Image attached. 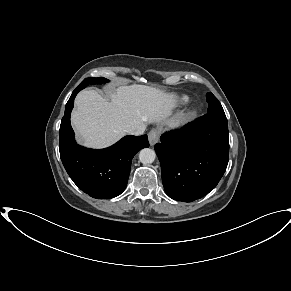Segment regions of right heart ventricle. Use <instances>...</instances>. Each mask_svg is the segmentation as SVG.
Listing matches in <instances>:
<instances>
[{
    "mask_svg": "<svg viewBox=\"0 0 291 291\" xmlns=\"http://www.w3.org/2000/svg\"><path fill=\"white\" fill-rule=\"evenodd\" d=\"M188 101H189V98H188V96H186V95H182V96H180V97L178 98V104H179V105H185V104L188 103Z\"/></svg>",
    "mask_w": 291,
    "mask_h": 291,
    "instance_id": "right-heart-ventricle-1",
    "label": "right heart ventricle"
}]
</instances>
